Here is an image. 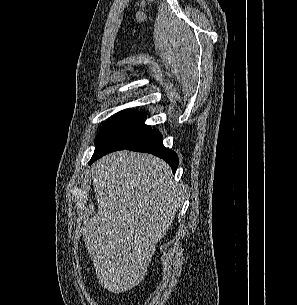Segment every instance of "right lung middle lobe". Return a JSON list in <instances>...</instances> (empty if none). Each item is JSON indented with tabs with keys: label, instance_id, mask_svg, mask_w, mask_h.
<instances>
[{
	"label": "right lung middle lobe",
	"instance_id": "right-lung-middle-lobe-1",
	"mask_svg": "<svg viewBox=\"0 0 297 305\" xmlns=\"http://www.w3.org/2000/svg\"><path fill=\"white\" fill-rule=\"evenodd\" d=\"M145 116L135 110H123L113 115L101 127L96 140L95 152L127 146L139 140L151 127L144 124Z\"/></svg>",
	"mask_w": 297,
	"mask_h": 305
}]
</instances>
